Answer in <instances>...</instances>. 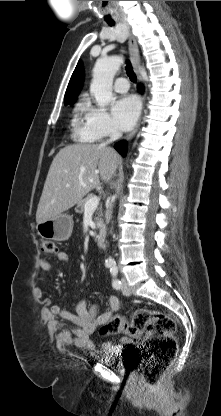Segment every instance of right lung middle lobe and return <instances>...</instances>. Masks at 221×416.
<instances>
[{"label":"right lung middle lobe","instance_id":"right-lung-middle-lobe-1","mask_svg":"<svg viewBox=\"0 0 221 416\" xmlns=\"http://www.w3.org/2000/svg\"><path fill=\"white\" fill-rule=\"evenodd\" d=\"M65 105H72L74 102H64Z\"/></svg>","mask_w":221,"mask_h":416}]
</instances>
